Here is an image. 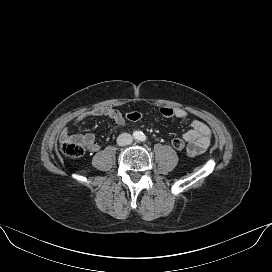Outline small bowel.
Here are the masks:
<instances>
[{"label":"small bowel","instance_id":"obj_1","mask_svg":"<svg viewBox=\"0 0 272 272\" xmlns=\"http://www.w3.org/2000/svg\"><path fill=\"white\" fill-rule=\"evenodd\" d=\"M175 117L182 120H188V113L182 108H175ZM106 116L112 119L117 125L122 126L125 124V119L122 113L110 107H100L93 109L87 114L79 116L74 125L84 121L88 117ZM71 126H65L60 134L61 143L67 141H75L84 145L90 152L96 153L100 149V144L97 142L95 135L92 133L87 134H72ZM212 132L209 126L199 120L190 122L189 129L183 135V141L186 142V149L190 156H197L203 153L210 145Z\"/></svg>","mask_w":272,"mask_h":272}]
</instances>
